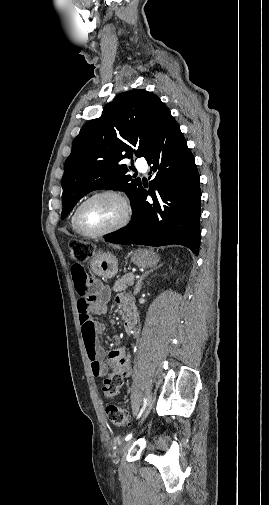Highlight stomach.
Here are the masks:
<instances>
[{"mask_svg": "<svg viewBox=\"0 0 269 505\" xmlns=\"http://www.w3.org/2000/svg\"><path fill=\"white\" fill-rule=\"evenodd\" d=\"M131 261L138 267L149 268L158 263L159 257L151 249L138 248L131 253ZM90 267L95 275L110 279L118 272L117 258L110 252L100 253L93 257Z\"/></svg>", "mask_w": 269, "mask_h": 505, "instance_id": "0dacf381", "label": "stomach"}]
</instances>
